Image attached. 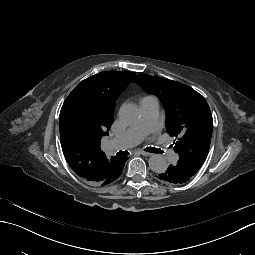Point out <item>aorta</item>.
Returning <instances> with one entry per match:
<instances>
[{"label":"aorta","instance_id":"762f6f07","mask_svg":"<svg viewBox=\"0 0 255 255\" xmlns=\"http://www.w3.org/2000/svg\"><path fill=\"white\" fill-rule=\"evenodd\" d=\"M140 117L139 109L136 105L128 103L119 110V118L126 124H134ZM149 167L156 173H164L167 170V161L160 154H153L149 158Z\"/></svg>","mask_w":255,"mask_h":255}]
</instances>
